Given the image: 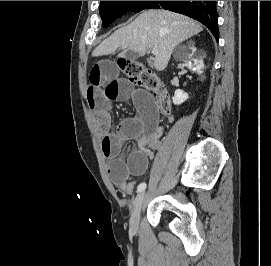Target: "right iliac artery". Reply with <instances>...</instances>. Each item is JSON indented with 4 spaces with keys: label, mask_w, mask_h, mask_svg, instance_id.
<instances>
[{
    "label": "right iliac artery",
    "mask_w": 271,
    "mask_h": 266,
    "mask_svg": "<svg viewBox=\"0 0 271 266\" xmlns=\"http://www.w3.org/2000/svg\"><path fill=\"white\" fill-rule=\"evenodd\" d=\"M145 188H146V183L143 182V183L139 184V186L137 188V192H142L145 190Z\"/></svg>",
    "instance_id": "obj_1"
}]
</instances>
